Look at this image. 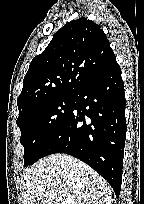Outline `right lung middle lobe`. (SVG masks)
Returning a JSON list of instances; mask_svg holds the SVG:
<instances>
[{"mask_svg":"<svg viewBox=\"0 0 144 204\" xmlns=\"http://www.w3.org/2000/svg\"><path fill=\"white\" fill-rule=\"evenodd\" d=\"M75 96H58L19 115L20 143L24 146V165L43 157L47 144L71 114Z\"/></svg>","mask_w":144,"mask_h":204,"instance_id":"dd1d6c3e","label":"right lung middle lobe"}]
</instances>
